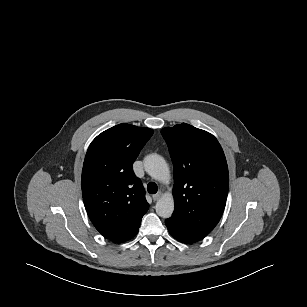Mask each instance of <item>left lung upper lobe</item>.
<instances>
[{
	"label": "left lung upper lobe",
	"instance_id": "obj_1",
	"mask_svg": "<svg viewBox=\"0 0 307 307\" xmlns=\"http://www.w3.org/2000/svg\"><path fill=\"white\" fill-rule=\"evenodd\" d=\"M174 165L175 210L170 218L184 230L205 237L226 204L229 174L217 139L186 123L161 130Z\"/></svg>",
	"mask_w": 307,
	"mask_h": 307
}]
</instances>
